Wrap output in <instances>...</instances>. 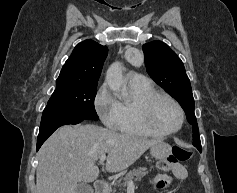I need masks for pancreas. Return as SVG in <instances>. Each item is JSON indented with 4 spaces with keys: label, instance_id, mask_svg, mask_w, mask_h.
Here are the masks:
<instances>
[{
    "label": "pancreas",
    "instance_id": "cf45deb5",
    "mask_svg": "<svg viewBox=\"0 0 237 193\" xmlns=\"http://www.w3.org/2000/svg\"><path fill=\"white\" fill-rule=\"evenodd\" d=\"M148 173L147 169L144 167H140L137 169H133L132 171L128 172L125 176V178L123 179V182H121V179L115 183H113L112 185H115L117 187H120L121 189H125L127 183L130 180H134V181H139L142 177H144L146 174ZM112 193H116V190H113Z\"/></svg>",
    "mask_w": 237,
    "mask_h": 193
}]
</instances>
